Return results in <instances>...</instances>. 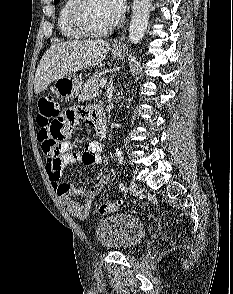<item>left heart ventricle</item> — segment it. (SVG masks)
<instances>
[{
  "label": "left heart ventricle",
  "mask_w": 233,
  "mask_h": 294,
  "mask_svg": "<svg viewBox=\"0 0 233 294\" xmlns=\"http://www.w3.org/2000/svg\"><path fill=\"white\" fill-rule=\"evenodd\" d=\"M116 19L107 0H90L84 9V20L93 30L104 29Z\"/></svg>",
  "instance_id": "left-heart-ventricle-1"
}]
</instances>
